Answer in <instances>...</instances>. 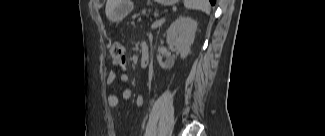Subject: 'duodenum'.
<instances>
[{"mask_svg": "<svg viewBox=\"0 0 325 136\" xmlns=\"http://www.w3.org/2000/svg\"><path fill=\"white\" fill-rule=\"evenodd\" d=\"M149 55H150L149 47L146 43H143L141 45V62H140L142 68H145L149 64Z\"/></svg>", "mask_w": 325, "mask_h": 136, "instance_id": "obj_1", "label": "duodenum"}]
</instances>
